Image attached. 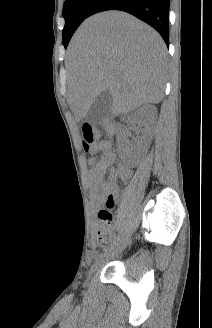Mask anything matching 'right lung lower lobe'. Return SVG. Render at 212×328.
Listing matches in <instances>:
<instances>
[{"mask_svg":"<svg viewBox=\"0 0 212 328\" xmlns=\"http://www.w3.org/2000/svg\"><path fill=\"white\" fill-rule=\"evenodd\" d=\"M170 0H96L88 17L107 10L130 13L155 28L169 45Z\"/></svg>","mask_w":212,"mask_h":328,"instance_id":"1","label":"right lung lower lobe"}]
</instances>
